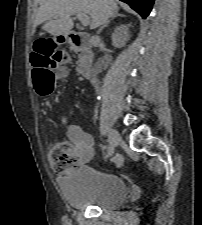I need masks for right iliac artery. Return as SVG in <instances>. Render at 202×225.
<instances>
[{
	"mask_svg": "<svg viewBox=\"0 0 202 225\" xmlns=\"http://www.w3.org/2000/svg\"><path fill=\"white\" fill-rule=\"evenodd\" d=\"M110 150H111V147L108 146V152H107L106 158L110 157L113 154L114 151L111 152Z\"/></svg>",
	"mask_w": 202,
	"mask_h": 225,
	"instance_id": "1",
	"label": "right iliac artery"
}]
</instances>
